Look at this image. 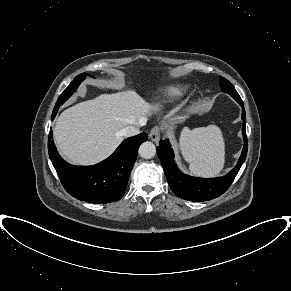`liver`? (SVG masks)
<instances>
[{
  "instance_id": "liver-1",
  "label": "liver",
  "mask_w": 291,
  "mask_h": 291,
  "mask_svg": "<svg viewBox=\"0 0 291 291\" xmlns=\"http://www.w3.org/2000/svg\"><path fill=\"white\" fill-rule=\"evenodd\" d=\"M155 110L156 106L132 90L101 94L64 110L53 130L54 140L71 163L96 164L118 147L125 127L146 122Z\"/></svg>"
}]
</instances>
